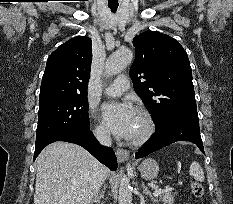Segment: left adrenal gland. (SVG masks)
<instances>
[{"instance_id": "left-adrenal-gland-1", "label": "left adrenal gland", "mask_w": 233, "mask_h": 204, "mask_svg": "<svg viewBox=\"0 0 233 204\" xmlns=\"http://www.w3.org/2000/svg\"><path fill=\"white\" fill-rule=\"evenodd\" d=\"M143 193L149 195L150 199L154 202H158V199L155 198L152 193L148 190L144 182L142 183Z\"/></svg>"}]
</instances>
